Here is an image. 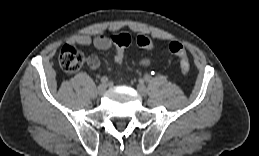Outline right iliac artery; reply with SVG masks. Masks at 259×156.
Wrapping results in <instances>:
<instances>
[{
  "label": "right iliac artery",
  "mask_w": 259,
  "mask_h": 156,
  "mask_svg": "<svg viewBox=\"0 0 259 156\" xmlns=\"http://www.w3.org/2000/svg\"><path fill=\"white\" fill-rule=\"evenodd\" d=\"M101 83L102 84H106L108 82V78L106 76H103L101 79H100Z\"/></svg>",
  "instance_id": "right-iliac-artery-1"
}]
</instances>
